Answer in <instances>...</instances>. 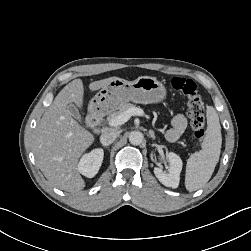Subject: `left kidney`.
<instances>
[{
	"instance_id": "left-kidney-1",
	"label": "left kidney",
	"mask_w": 251,
	"mask_h": 251,
	"mask_svg": "<svg viewBox=\"0 0 251 251\" xmlns=\"http://www.w3.org/2000/svg\"><path fill=\"white\" fill-rule=\"evenodd\" d=\"M167 158L170 163L168 172L155 167L154 174L158 178V180L166 187L177 188L179 186L180 173L183 163L181 158L173 152L168 153Z\"/></svg>"
}]
</instances>
